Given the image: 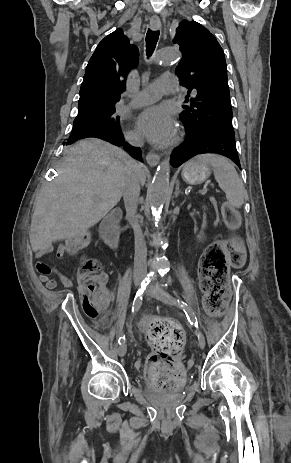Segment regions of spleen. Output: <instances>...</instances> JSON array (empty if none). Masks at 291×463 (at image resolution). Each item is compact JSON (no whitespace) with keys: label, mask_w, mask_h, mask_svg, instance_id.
Instances as JSON below:
<instances>
[{"label":"spleen","mask_w":291,"mask_h":463,"mask_svg":"<svg viewBox=\"0 0 291 463\" xmlns=\"http://www.w3.org/2000/svg\"><path fill=\"white\" fill-rule=\"evenodd\" d=\"M196 159L214 168V177L225 192L229 204L240 208L244 203L245 188L233 165L226 158L215 154L199 155Z\"/></svg>","instance_id":"1"}]
</instances>
